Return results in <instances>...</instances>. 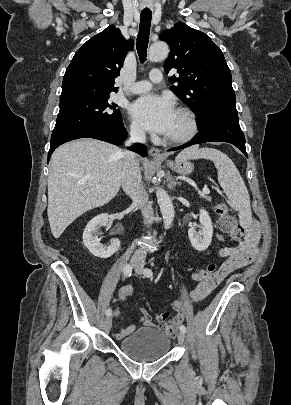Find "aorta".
I'll return each mask as SVG.
<instances>
[{"mask_svg":"<svg viewBox=\"0 0 291 405\" xmlns=\"http://www.w3.org/2000/svg\"><path fill=\"white\" fill-rule=\"evenodd\" d=\"M169 53L167 43L163 41L155 42L151 45L148 59L153 62L164 60ZM157 201L164 219V225L169 228L174 219V207L172 201L165 190L158 187L156 190Z\"/></svg>","mask_w":291,"mask_h":405,"instance_id":"1","label":"aorta"}]
</instances>
